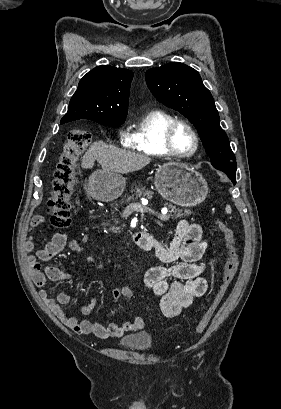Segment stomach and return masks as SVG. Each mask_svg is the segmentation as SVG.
<instances>
[{"label":"stomach","instance_id":"1","mask_svg":"<svg viewBox=\"0 0 281 409\" xmlns=\"http://www.w3.org/2000/svg\"><path fill=\"white\" fill-rule=\"evenodd\" d=\"M154 184L163 198L180 207H196L205 200L208 184L193 166L186 162H164L156 168ZM126 186L124 176L118 172L95 170L89 176L88 190L92 198L109 202L122 194Z\"/></svg>","mask_w":281,"mask_h":409}]
</instances>
